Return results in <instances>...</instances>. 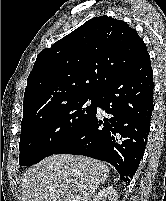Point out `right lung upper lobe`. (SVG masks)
Returning a JSON list of instances; mask_svg holds the SVG:
<instances>
[{"label":"right lung upper lobe","instance_id":"right-lung-upper-lobe-1","mask_svg":"<svg viewBox=\"0 0 166 201\" xmlns=\"http://www.w3.org/2000/svg\"><path fill=\"white\" fill-rule=\"evenodd\" d=\"M147 52L138 33L122 21L95 17L42 50L27 79L23 116L85 96H96Z\"/></svg>","mask_w":166,"mask_h":201}]
</instances>
